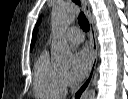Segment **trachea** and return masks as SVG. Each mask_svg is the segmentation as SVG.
Returning a JSON list of instances; mask_svg holds the SVG:
<instances>
[{
  "label": "trachea",
  "instance_id": "obj_1",
  "mask_svg": "<svg viewBox=\"0 0 128 99\" xmlns=\"http://www.w3.org/2000/svg\"><path fill=\"white\" fill-rule=\"evenodd\" d=\"M74 2L77 4V5H80V1L79 0H74ZM78 21H79V25L80 27L85 31H89L90 29V25H89V22L86 18V16L84 15L83 12H80L79 16H78Z\"/></svg>",
  "mask_w": 128,
  "mask_h": 99
}]
</instances>
